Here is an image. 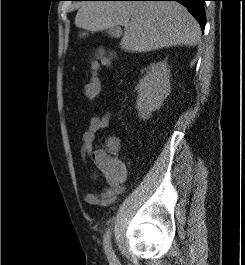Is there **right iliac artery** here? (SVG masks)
Returning <instances> with one entry per match:
<instances>
[{"instance_id":"right-iliac-artery-1","label":"right iliac artery","mask_w":245,"mask_h":265,"mask_svg":"<svg viewBox=\"0 0 245 265\" xmlns=\"http://www.w3.org/2000/svg\"><path fill=\"white\" fill-rule=\"evenodd\" d=\"M110 236H111V231H110V228H108V230L104 236L103 245H104V250H105V253H106L108 259L110 261H115V254H114L112 247H111Z\"/></svg>"}]
</instances>
